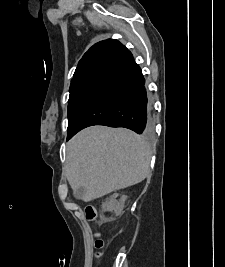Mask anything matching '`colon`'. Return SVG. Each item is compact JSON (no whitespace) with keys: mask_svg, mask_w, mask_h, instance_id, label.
I'll return each instance as SVG.
<instances>
[{"mask_svg":"<svg viewBox=\"0 0 225 267\" xmlns=\"http://www.w3.org/2000/svg\"><path fill=\"white\" fill-rule=\"evenodd\" d=\"M85 214H86V218L88 220H94L96 217V209L94 206H87L85 209ZM104 246V241L99 237V235L97 236L96 240H95V247L100 250L102 249ZM101 254L98 252L97 256L99 257Z\"/></svg>","mask_w":225,"mask_h":267,"instance_id":"obj_1","label":"colon"}]
</instances>
